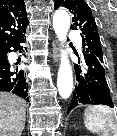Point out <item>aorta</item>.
I'll return each instance as SVG.
<instances>
[{
    "mask_svg": "<svg viewBox=\"0 0 117 136\" xmlns=\"http://www.w3.org/2000/svg\"><path fill=\"white\" fill-rule=\"evenodd\" d=\"M53 28L62 43L65 42L68 30L70 28V16L64 10H57L53 15ZM57 87L59 95L63 99L70 97L73 90V74L68 57L65 54L61 56V63L58 71Z\"/></svg>",
    "mask_w": 117,
    "mask_h": 136,
    "instance_id": "1",
    "label": "aorta"
}]
</instances>
